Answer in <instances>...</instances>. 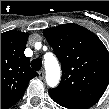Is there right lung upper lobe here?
<instances>
[{
	"label": "right lung upper lobe",
	"instance_id": "cb5924a9",
	"mask_svg": "<svg viewBox=\"0 0 109 109\" xmlns=\"http://www.w3.org/2000/svg\"><path fill=\"white\" fill-rule=\"evenodd\" d=\"M27 39L28 33L16 30L1 34V109L18 102L30 79L38 76L24 54Z\"/></svg>",
	"mask_w": 109,
	"mask_h": 109
}]
</instances>
